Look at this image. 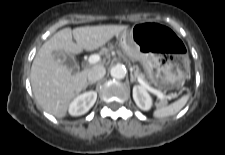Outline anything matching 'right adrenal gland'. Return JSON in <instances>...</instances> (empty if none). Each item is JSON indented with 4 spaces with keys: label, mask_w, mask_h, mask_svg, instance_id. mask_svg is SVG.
Listing matches in <instances>:
<instances>
[{
    "label": "right adrenal gland",
    "mask_w": 225,
    "mask_h": 155,
    "mask_svg": "<svg viewBox=\"0 0 225 155\" xmlns=\"http://www.w3.org/2000/svg\"><path fill=\"white\" fill-rule=\"evenodd\" d=\"M93 84H95V82H87L86 87H87L88 85H93Z\"/></svg>",
    "instance_id": "2a0ac1e0"
}]
</instances>
